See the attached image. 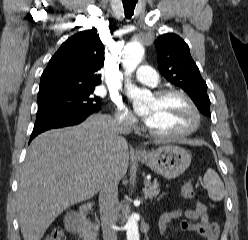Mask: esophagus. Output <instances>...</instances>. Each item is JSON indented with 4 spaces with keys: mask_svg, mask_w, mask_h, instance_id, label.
Here are the masks:
<instances>
[{
    "mask_svg": "<svg viewBox=\"0 0 248 240\" xmlns=\"http://www.w3.org/2000/svg\"><path fill=\"white\" fill-rule=\"evenodd\" d=\"M134 152H135L136 154H142V153H143V151H142L141 149H138V148H136V149L134 150Z\"/></svg>",
    "mask_w": 248,
    "mask_h": 240,
    "instance_id": "esophagus-1",
    "label": "esophagus"
}]
</instances>
